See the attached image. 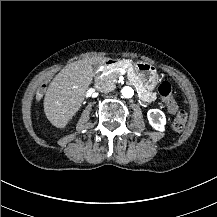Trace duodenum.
<instances>
[{
    "label": "duodenum",
    "instance_id": "410a0bca",
    "mask_svg": "<svg viewBox=\"0 0 217 217\" xmlns=\"http://www.w3.org/2000/svg\"><path fill=\"white\" fill-rule=\"evenodd\" d=\"M101 64L103 66H114V65L117 64V61L112 60V59H104V60L101 61Z\"/></svg>",
    "mask_w": 217,
    "mask_h": 217
}]
</instances>
